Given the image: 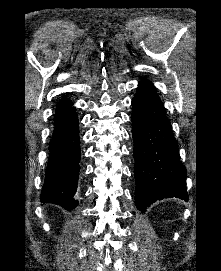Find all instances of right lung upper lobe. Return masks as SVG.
Masks as SVG:
<instances>
[{
  "instance_id": "cb5924a9",
  "label": "right lung upper lobe",
  "mask_w": 221,
  "mask_h": 271,
  "mask_svg": "<svg viewBox=\"0 0 221 271\" xmlns=\"http://www.w3.org/2000/svg\"><path fill=\"white\" fill-rule=\"evenodd\" d=\"M71 101H69L68 99L66 98H63L62 100H60V102L58 103L57 105V108L61 107V106H64L66 104H69Z\"/></svg>"
}]
</instances>
